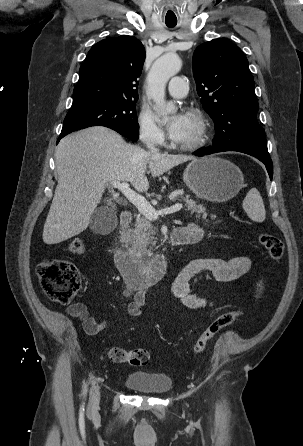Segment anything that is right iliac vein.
Wrapping results in <instances>:
<instances>
[{"label":"right iliac vein","instance_id":"1","mask_svg":"<svg viewBox=\"0 0 303 446\" xmlns=\"http://www.w3.org/2000/svg\"><path fill=\"white\" fill-rule=\"evenodd\" d=\"M99 399H100V393H99V389L94 386L91 389L90 392V406L91 408H96L98 403H99Z\"/></svg>","mask_w":303,"mask_h":446}]
</instances>
